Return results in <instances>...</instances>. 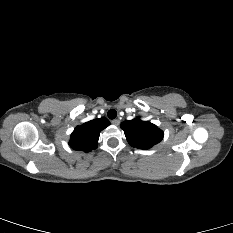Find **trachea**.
<instances>
[{
	"label": "trachea",
	"mask_w": 233,
	"mask_h": 233,
	"mask_svg": "<svg viewBox=\"0 0 233 233\" xmlns=\"http://www.w3.org/2000/svg\"><path fill=\"white\" fill-rule=\"evenodd\" d=\"M109 119H115L117 116V112L115 109H110L107 113Z\"/></svg>",
	"instance_id": "1"
}]
</instances>
